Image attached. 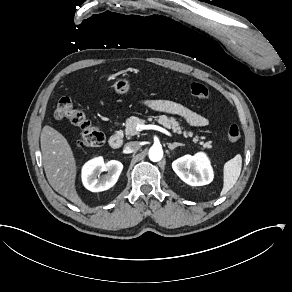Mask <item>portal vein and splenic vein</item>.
<instances>
[{"instance_id":"1","label":"portal vein and splenic vein","mask_w":292,"mask_h":292,"mask_svg":"<svg viewBox=\"0 0 292 292\" xmlns=\"http://www.w3.org/2000/svg\"><path fill=\"white\" fill-rule=\"evenodd\" d=\"M136 129H137L138 131H142V130H145V129H152V130L160 131V132H162V133H164V134H166V135H168V136L171 135L166 129H164V128L158 126V125H151V124H149V125H145V124H137Z\"/></svg>"}]
</instances>
